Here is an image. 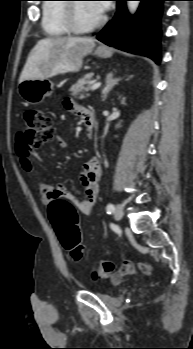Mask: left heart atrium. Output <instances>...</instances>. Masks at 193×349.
<instances>
[{"label":"left heart atrium","instance_id":"1","mask_svg":"<svg viewBox=\"0 0 193 349\" xmlns=\"http://www.w3.org/2000/svg\"><path fill=\"white\" fill-rule=\"evenodd\" d=\"M92 8L98 13L103 14L109 8L110 4L108 1H93L91 3Z\"/></svg>","mask_w":193,"mask_h":349}]
</instances>
